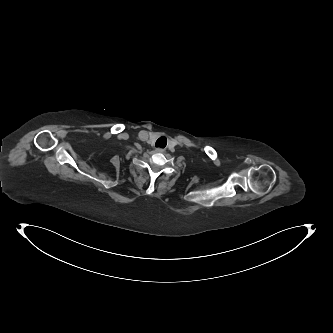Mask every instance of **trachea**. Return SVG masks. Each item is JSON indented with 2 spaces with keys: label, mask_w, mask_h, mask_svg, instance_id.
<instances>
[{
  "label": "trachea",
  "mask_w": 333,
  "mask_h": 333,
  "mask_svg": "<svg viewBox=\"0 0 333 333\" xmlns=\"http://www.w3.org/2000/svg\"><path fill=\"white\" fill-rule=\"evenodd\" d=\"M167 144V138L162 136L159 139H157L155 146L156 147H160V148H164Z\"/></svg>",
  "instance_id": "obj_1"
}]
</instances>
